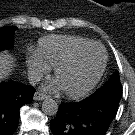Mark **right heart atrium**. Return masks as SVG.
<instances>
[{
    "mask_svg": "<svg viewBox=\"0 0 135 135\" xmlns=\"http://www.w3.org/2000/svg\"><path fill=\"white\" fill-rule=\"evenodd\" d=\"M26 64L30 71H37L41 74L48 71L47 65L37 52H32L27 56Z\"/></svg>",
    "mask_w": 135,
    "mask_h": 135,
    "instance_id": "right-heart-atrium-1",
    "label": "right heart atrium"
}]
</instances>
